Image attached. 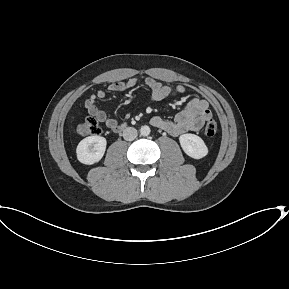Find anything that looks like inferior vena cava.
Listing matches in <instances>:
<instances>
[{
	"label": "inferior vena cava",
	"mask_w": 289,
	"mask_h": 289,
	"mask_svg": "<svg viewBox=\"0 0 289 289\" xmlns=\"http://www.w3.org/2000/svg\"><path fill=\"white\" fill-rule=\"evenodd\" d=\"M137 137V130L133 127H127L123 131V138L127 141H132Z\"/></svg>",
	"instance_id": "inferior-vena-cava-1"
}]
</instances>
